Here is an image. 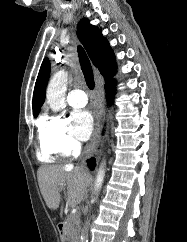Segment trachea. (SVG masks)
Wrapping results in <instances>:
<instances>
[{"instance_id": "obj_1", "label": "trachea", "mask_w": 187, "mask_h": 242, "mask_svg": "<svg viewBox=\"0 0 187 242\" xmlns=\"http://www.w3.org/2000/svg\"><path fill=\"white\" fill-rule=\"evenodd\" d=\"M78 56L86 84L90 90H93L95 82L93 77L92 66L85 50L81 46H78Z\"/></svg>"}]
</instances>
